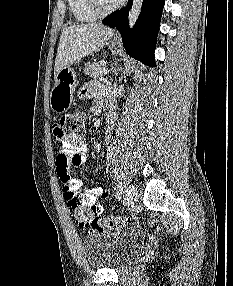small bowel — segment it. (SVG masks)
<instances>
[{
    "label": "small bowel",
    "instance_id": "c3829d8e",
    "mask_svg": "<svg viewBox=\"0 0 233 286\" xmlns=\"http://www.w3.org/2000/svg\"><path fill=\"white\" fill-rule=\"evenodd\" d=\"M80 98L86 99L92 95H99L105 101H109L108 89L104 85L86 84L80 90ZM110 126L106 130V138H109ZM54 143L56 147L55 169L62 184L63 197L66 201L67 193L77 195L83 205L95 209L99 214L103 211V205L99 202L108 197V192L101 186L81 190L82 181L74 177V172L85 166L88 162V148L81 136L73 134H61L57 126L54 127ZM82 227H86L78 221Z\"/></svg>",
    "mask_w": 233,
    "mask_h": 286
}]
</instances>
